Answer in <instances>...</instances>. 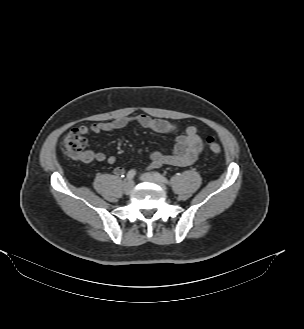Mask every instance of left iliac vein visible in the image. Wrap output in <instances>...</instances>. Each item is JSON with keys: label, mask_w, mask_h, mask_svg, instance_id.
Masks as SVG:
<instances>
[{"label": "left iliac vein", "mask_w": 304, "mask_h": 329, "mask_svg": "<svg viewBox=\"0 0 304 329\" xmlns=\"http://www.w3.org/2000/svg\"><path fill=\"white\" fill-rule=\"evenodd\" d=\"M140 179H141L142 181L155 183V184L159 185V186H160L161 188H163V189L166 188L165 185H164L161 181H159V180L155 177V175L152 174V173H144V174L141 175Z\"/></svg>", "instance_id": "4c4485c4"}]
</instances>
